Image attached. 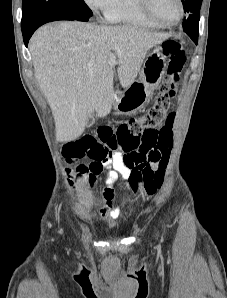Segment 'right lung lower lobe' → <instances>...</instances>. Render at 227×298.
<instances>
[{"mask_svg": "<svg viewBox=\"0 0 227 298\" xmlns=\"http://www.w3.org/2000/svg\"><path fill=\"white\" fill-rule=\"evenodd\" d=\"M50 22V21H48ZM44 23H47V22H41L33 27H31L30 29L26 30V31H23L22 34H23V40H24V43H25V46L27 47L28 46V41L30 39V37L32 36V34L34 33V31L41 25H43Z\"/></svg>", "mask_w": 227, "mask_h": 298, "instance_id": "98d812e1", "label": "right lung lower lobe"}]
</instances>
